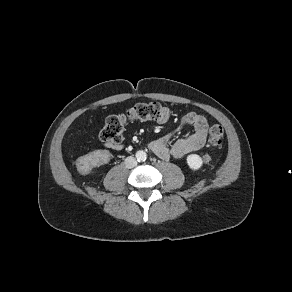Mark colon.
I'll use <instances>...</instances> for the list:
<instances>
[{
    "label": "colon",
    "mask_w": 292,
    "mask_h": 292,
    "mask_svg": "<svg viewBox=\"0 0 292 292\" xmlns=\"http://www.w3.org/2000/svg\"><path fill=\"white\" fill-rule=\"evenodd\" d=\"M162 106L157 102L138 103L126 112L114 114L106 119L105 125L100 132V139L104 142L114 144L121 143L123 132L128 122L158 120L162 114ZM224 137L223 127L214 124L209 129V143L212 147L219 146ZM211 154L206 152L203 155V161L208 163ZM109 160V154L106 151H98L83 157L78 162V167L82 171L90 169L96 163H105Z\"/></svg>",
    "instance_id": "colon-1"
}]
</instances>
